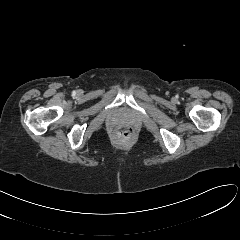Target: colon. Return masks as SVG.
Masks as SVG:
<instances>
[{
    "mask_svg": "<svg viewBox=\"0 0 240 240\" xmlns=\"http://www.w3.org/2000/svg\"><path fill=\"white\" fill-rule=\"evenodd\" d=\"M118 133L125 137V138H128V137H131L132 134H133V129L131 127H128V126H123V127H120L118 129Z\"/></svg>",
    "mask_w": 240,
    "mask_h": 240,
    "instance_id": "obj_1",
    "label": "colon"
}]
</instances>
